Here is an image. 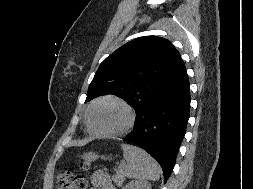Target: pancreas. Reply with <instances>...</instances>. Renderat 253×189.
<instances>
[{
    "mask_svg": "<svg viewBox=\"0 0 253 189\" xmlns=\"http://www.w3.org/2000/svg\"><path fill=\"white\" fill-rule=\"evenodd\" d=\"M112 180L117 186H122L125 180V173L122 170L118 169L116 171V174L112 177Z\"/></svg>",
    "mask_w": 253,
    "mask_h": 189,
    "instance_id": "obj_1",
    "label": "pancreas"
}]
</instances>
